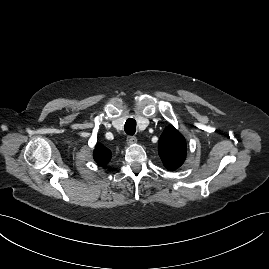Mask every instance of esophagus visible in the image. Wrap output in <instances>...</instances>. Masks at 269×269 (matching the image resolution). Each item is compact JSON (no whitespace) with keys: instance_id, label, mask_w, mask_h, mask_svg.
Segmentation results:
<instances>
[{"instance_id":"obj_1","label":"esophagus","mask_w":269,"mask_h":269,"mask_svg":"<svg viewBox=\"0 0 269 269\" xmlns=\"http://www.w3.org/2000/svg\"><path fill=\"white\" fill-rule=\"evenodd\" d=\"M127 143H128L129 145H134V144L137 143V138L134 137V136H128V137H127Z\"/></svg>"}]
</instances>
